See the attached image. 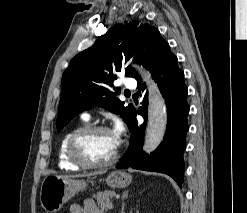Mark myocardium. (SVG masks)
I'll return each instance as SVG.
<instances>
[{
  "label": "myocardium",
  "instance_id": "myocardium-1",
  "mask_svg": "<svg viewBox=\"0 0 247 213\" xmlns=\"http://www.w3.org/2000/svg\"><path fill=\"white\" fill-rule=\"evenodd\" d=\"M110 129L104 125H88L76 130L69 138L67 145L68 157L72 163L85 169L104 168L113 165L119 158V148L117 146L113 156L104 162L89 161L82 153L81 144L88 136Z\"/></svg>",
  "mask_w": 247,
  "mask_h": 213
}]
</instances>
